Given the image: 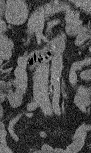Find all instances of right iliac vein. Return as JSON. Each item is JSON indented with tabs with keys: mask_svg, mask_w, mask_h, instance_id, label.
<instances>
[{
	"mask_svg": "<svg viewBox=\"0 0 91 153\" xmlns=\"http://www.w3.org/2000/svg\"><path fill=\"white\" fill-rule=\"evenodd\" d=\"M42 100H43V96H42L41 91L36 92L35 95H34V102H35L36 104H38V103H40Z\"/></svg>",
	"mask_w": 91,
	"mask_h": 153,
	"instance_id": "right-iliac-vein-1",
	"label": "right iliac vein"
}]
</instances>
